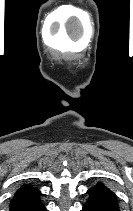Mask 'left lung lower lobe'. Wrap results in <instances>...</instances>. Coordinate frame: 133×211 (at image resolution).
Masks as SVG:
<instances>
[{"label": "left lung lower lobe", "mask_w": 133, "mask_h": 211, "mask_svg": "<svg viewBox=\"0 0 133 211\" xmlns=\"http://www.w3.org/2000/svg\"><path fill=\"white\" fill-rule=\"evenodd\" d=\"M84 211H120L116 195L107 187L95 186L87 191Z\"/></svg>", "instance_id": "1"}]
</instances>
